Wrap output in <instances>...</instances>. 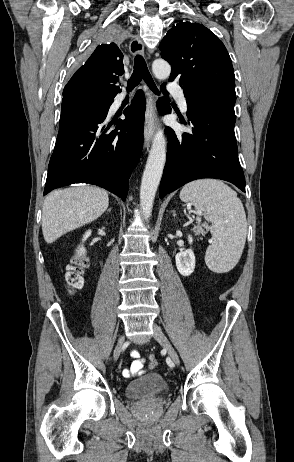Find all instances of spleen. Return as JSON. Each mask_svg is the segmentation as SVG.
I'll return each instance as SVG.
<instances>
[{"label": "spleen", "instance_id": "spleen-1", "mask_svg": "<svg viewBox=\"0 0 294 462\" xmlns=\"http://www.w3.org/2000/svg\"><path fill=\"white\" fill-rule=\"evenodd\" d=\"M180 199L192 202L212 223L214 241L205 255L208 268L216 273L233 269L242 255L247 234L246 214L237 193L222 181L202 179L186 184Z\"/></svg>", "mask_w": 294, "mask_h": 462}]
</instances>
